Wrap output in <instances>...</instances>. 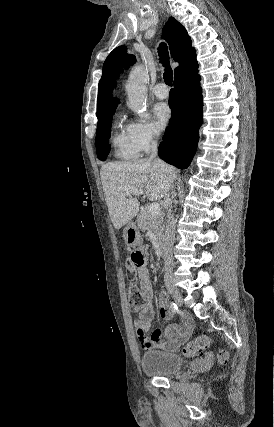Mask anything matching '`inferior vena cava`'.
<instances>
[{
    "mask_svg": "<svg viewBox=\"0 0 274 427\" xmlns=\"http://www.w3.org/2000/svg\"><path fill=\"white\" fill-rule=\"evenodd\" d=\"M150 150L151 156L149 160H154L157 156V142L151 138L150 140ZM170 188H167V192L165 194V202L168 206L167 210V223L165 227L164 233V249L165 251H170L171 247H173L174 239H175V219L172 214V198L169 192ZM172 259H168L165 257V265H171Z\"/></svg>",
    "mask_w": 274,
    "mask_h": 427,
    "instance_id": "inferior-vena-cava-1",
    "label": "inferior vena cava"
}]
</instances>
